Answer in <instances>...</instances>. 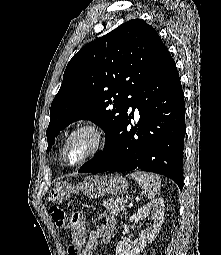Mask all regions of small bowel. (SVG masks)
I'll return each mask as SVG.
<instances>
[{"mask_svg":"<svg viewBox=\"0 0 221 255\" xmlns=\"http://www.w3.org/2000/svg\"><path fill=\"white\" fill-rule=\"evenodd\" d=\"M103 223L96 226L87 236L85 227L79 232H72V241L68 248V255H93L99 241L109 243L115 227L113 216L104 213L101 215Z\"/></svg>","mask_w":221,"mask_h":255,"instance_id":"c3829d8e","label":"small bowel"}]
</instances>
